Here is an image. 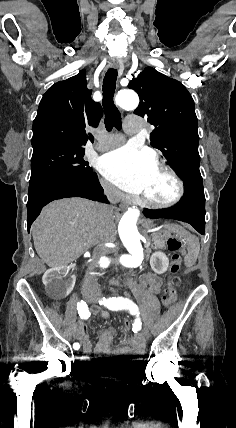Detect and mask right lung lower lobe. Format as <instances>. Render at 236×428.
<instances>
[{
    "label": "right lung lower lobe",
    "instance_id": "right-lung-lower-lobe-1",
    "mask_svg": "<svg viewBox=\"0 0 236 428\" xmlns=\"http://www.w3.org/2000/svg\"><path fill=\"white\" fill-rule=\"evenodd\" d=\"M67 197H82L108 203L94 172L80 176L59 175L30 183L27 203L28 231L46 204Z\"/></svg>",
    "mask_w": 236,
    "mask_h": 428
}]
</instances>
